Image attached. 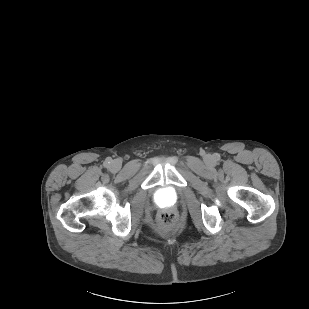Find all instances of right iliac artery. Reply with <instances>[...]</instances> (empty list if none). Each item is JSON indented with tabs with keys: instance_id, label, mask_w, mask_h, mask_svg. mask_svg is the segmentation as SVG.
I'll return each mask as SVG.
<instances>
[{
	"instance_id": "82829eb1",
	"label": "right iliac artery",
	"mask_w": 309,
	"mask_h": 309,
	"mask_svg": "<svg viewBox=\"0 0 309 309\" xmlns=\"http://www.w3.org/2000/svg\"><path fill=\"white\" fill-rule=\"evenodd\" d=\"M109 163H110V161H109V160H107V161H106V165H108Z\"/></svg>"
}]
</instances>
